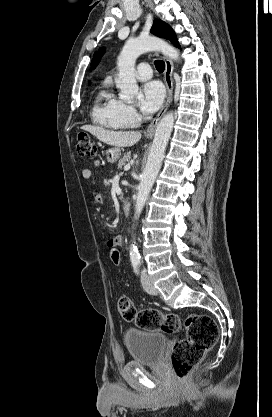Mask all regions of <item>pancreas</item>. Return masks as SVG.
<instances>
[{
	"label": "pancreas",
	"instance_id": "1",
	"mask_svg": "<svg viewBox=\"0 0 272 417\" xmlns=\"http://www.w3.org/2000/svg\"><path fill=\"white\" fill-rule=\"evenodd\" d=\"M130 159H131V154L125 153L123 158H121L118 162V168H121L123 165H125L126 162L130 161Z\"/></svg>",
	"mask_w": 272,
	"mask_h": 417
}]
</instances>
